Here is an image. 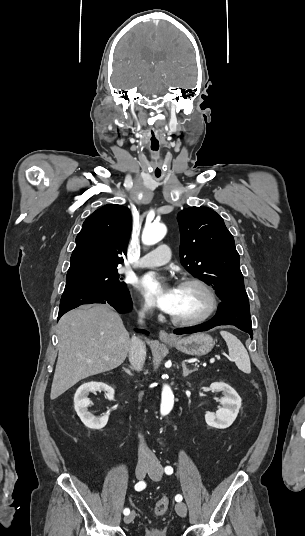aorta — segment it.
<instances>
[{
    "mask_svg": "<svg viewBox=\"0 0 305 536\" xmlns=\"http://www.w3.org/2000/svg\"><path fill=\"white\" fill-rule=\"evenodd\" d=\"M167 228L164 224H150L145 226L142 233L144 245H154L164 238ZM174 405V395L169 385L164 384L161 394L160 413L165 416L170 413Z\"/></svg>",
    "mask_w": 305,
    "mask_h": 536,
    "instance_id": "1",
    "label": "aorta"
}]
</instances>
